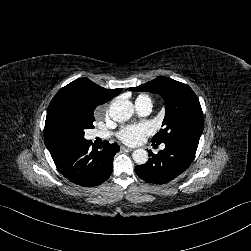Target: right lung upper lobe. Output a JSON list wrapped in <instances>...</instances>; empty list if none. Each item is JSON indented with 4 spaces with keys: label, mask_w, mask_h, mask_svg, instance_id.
Listing matches in <instances>:
<instances>
[{
    "label": "right lung upper lobe",
    "mask_w": 251,
    "mask_h": 251,
    "mask_svg": "<svg viewBox=\"0 0 251 251\" xmlns=\"http://www.w3.org/2000/svg\"><path fill=\"white\" fill-rule=\"evenodd\" d=\"M121 91L122 88L105 89L87 78H81L61 88L55 97L61 98L71 108L84 113L94 114V110L98 105L111 100ZM44 138L47 148L56 141L52 137Z\"/></svg>",
    "instance_id": "1"
}]
</instances>
